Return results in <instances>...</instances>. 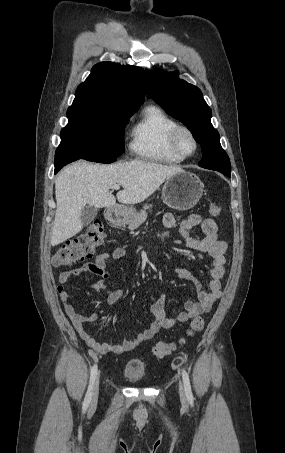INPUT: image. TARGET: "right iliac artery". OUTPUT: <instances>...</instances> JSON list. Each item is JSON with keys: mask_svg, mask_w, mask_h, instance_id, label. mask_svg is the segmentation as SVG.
I'll use <instances>...</instances> for the list:
<instances>
[{"mask_svg": "<svg viewBox=\"0 0 285 453\" xmlns=\"http://www.w3.org/2000/svg\"><path fill=\"white\" fill-rule=\"evenodd\" d=\"M96 376H97V364H95L91 369L89 386H88V390H87V393H86L84 401H83V410H87V408L90 404Z\"/></svg>", "mask_w": 285, "mask_h": 453, "instance_id": "1", "label": "right iliac artery"}]
</instances>
